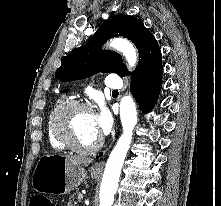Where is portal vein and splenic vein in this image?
<instances>
[{
    "instance_id": "portal-vein-and-splenic-vein-1",
    "label": "portal vein and splenic vein",
    "mask_w": 221,
    "mask_h": 206,
    "mask_svg": "<svg viewBox=\"0 0 221 206\" xmlns=\"http://www.w3.org/2000/svg\"><path fill=\"white\" fill-rule=\"evenodd\" d=\"M78 199H79V200H82V199H83V195H82V194L79 195V196H78Z\"/></svg>"
}]
</instances>
